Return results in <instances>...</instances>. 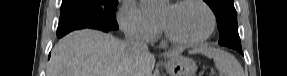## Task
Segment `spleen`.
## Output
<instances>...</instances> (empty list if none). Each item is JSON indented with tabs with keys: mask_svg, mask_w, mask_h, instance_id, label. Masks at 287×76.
Segmentation results:
<instances>
[{
	"mask_svg": "<svg viewBox=\"0 0 287 76\" xmlns=\"http://www.w3.org/2000/svg\"><path fill=\"white\" fill-rule=\"evenodd\" d=\"M190 53H201L213 59L216 68L222 76H244L243 68L238 60L230 53L209 46L195 48Z\"/></svg>",
	"mask_w": 287,
	"mask_h": 76,
	"instance_id": "3e777b00",
	"label": "spleen"
}]
</instances>
